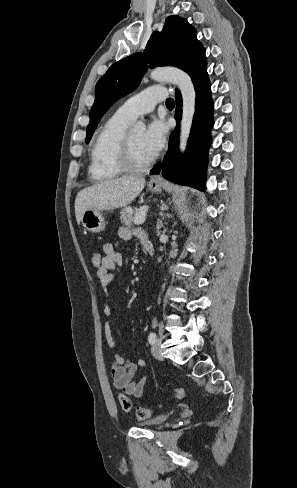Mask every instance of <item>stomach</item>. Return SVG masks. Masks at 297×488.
<instances>
[{
    "label": "stomach",
    "mask_w": 297,
    "mask_h": 488,
    "mask_svg": "<svg viewBox=\"0 0 297 488\" xmlns=\"http://www.w3.org/2000/svg\"><path fill=\"white\" fill-rule=\"evenodd\" d=\"M149 189L152 192H159L162 189V185L149 183ZM81 222L84 228L92 233L101 232L105 228V220L101 211L92 209L84 211Z\"/></svg>",
    "instance_id": "stomach-1"
}]
</instances>
